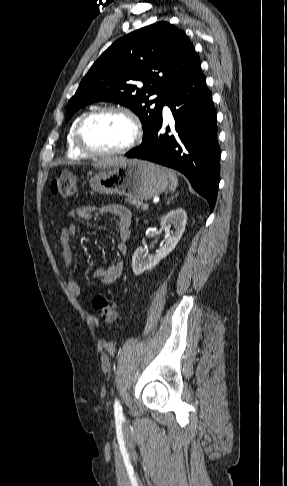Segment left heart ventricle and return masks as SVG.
I'll return each mask as SVG.
<instances>
[{"mask_svg": "<svg viewBox=\"0 0 287 486\" xmlns=\"http://www.w3.org/2000/svg\"><path fill=\"white\" fill-rule=\"evenodd\" d=\"M128 119L118 113H105L89 120L83 129V139L96 151H112L126 145L132 137Z\"/></svg>", "mask_w": 287, "mask_h": 486, "instance_id": "left-heart-ventricle-1", "label": "left heart ventricle"}]
</instances>
